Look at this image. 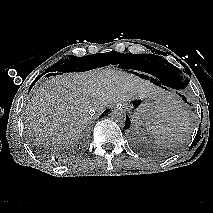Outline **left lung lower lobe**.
I'll use <instances>...</instances> for the list:
<instances>
[{
	"instance_id": "obj_1",
	"label": "left lung lower lobe",
	"mask_w": 213,
	"mask_h": 213,
	"mask_svg": "<svg viewBox=\"0 0 213 213\" xmlns=\"http://www.w3.org/2000/svg\"><path fill=\"white\" fill-rule=\"evenodd\" d=\"M151 75L154 76V78H152L150 81L158 86H162L164 89H167L169 87L173 88L175 87V85L172 83V81L170 79H168L167 77L165 76H162V75H157V74H154V73H150ZM143 78L145 79H148L149 77L148 76H145V75H141ZM178 95L181 96L180 93L176 92ZM183 100L185 102H187L186 98L183 96ZM131 122H130V119L128 116H126V122H125V128H129Z\"/></svg>"
}]
</instances>
